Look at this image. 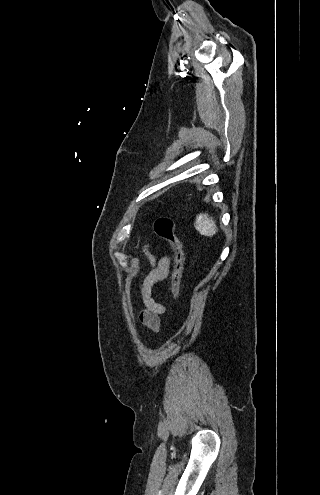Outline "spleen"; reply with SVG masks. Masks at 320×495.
<instances>
[{
    "label": "spleen",
    "mask_w": 320,
    "mask_h": 495,
    "mask_svg": "<svg viewBox=\"0 0 320 495\" xmlns=\"http://www.w3.org/2000/svg\"><path fill=\"white\" fill-rule=\"evenodd\" d=\"M195 228L200 234L212 237L218 232L215 220L208 213H200L196 217Z\"/></svg>",
    "instance_id": "spleen-1"
}]
</instances>
